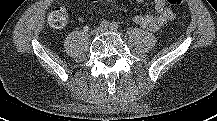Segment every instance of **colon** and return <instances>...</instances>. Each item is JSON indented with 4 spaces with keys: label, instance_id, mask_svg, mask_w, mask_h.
Masks as SVG:
<instances>
[{
    "label": "colon",
    "instance_id": "5ec220e1",
    "mask_svg": "<svg viewBox=\"0 0 217 121\" xmlns=\"http://www.w3.org/2000/svg\"><path fill=\"white\" fill-rule=\"evenodd\" d=\"M172 6H180L183 0H167ZM48 23L56 30H62L67 24V11L63 7H58L48 15Z\"/></svg>",
    "mask_w": 217,
    "mask_h": 121
}]
</instances>
